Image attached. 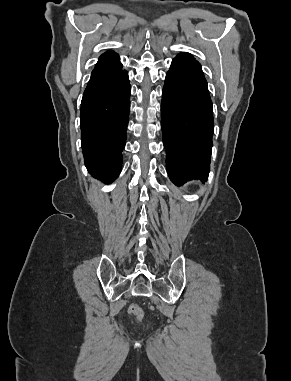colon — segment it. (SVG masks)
<instances>
[{"instance_id":"1","label":"colon","mask_w":291,"mask_h":381,"mask_svg":"<svg viewBox=\"0 0 291 381\" xmlns=\"http://www.w3.org/2000/svg\"><path fill=\"white\" fill-rule=\"evenodd\" d=\"M129 313L134 315L138 320H141L144 315L142 309L135 304L129 307Z\"/></svg>"}]
</instances>
